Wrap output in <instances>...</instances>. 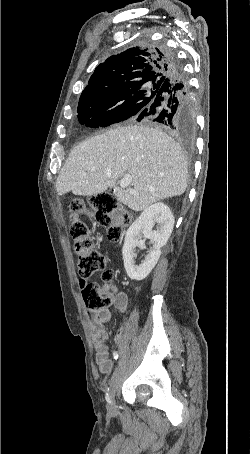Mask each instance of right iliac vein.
<instances>
[{
    "label": "right iliac vein",
    "instance_id": "63e3f726",
    "mask_svg": "<svg viewBox=\"0 0 250 454\" xmlns=\"http://www.w3.org/2000/svg\"><path fill=\"white\" fill-rule=\"evenodd\" d=\"M120 374H121V364L118 363L117 367L115 368L113 377L110 382V386L108 389V405L107 409L110 413L116 412V403H115V396L116 392L120 383Z\"/></svg>",
    "mask_w": 250,
    "mask_h": 454
}]
</instances>
